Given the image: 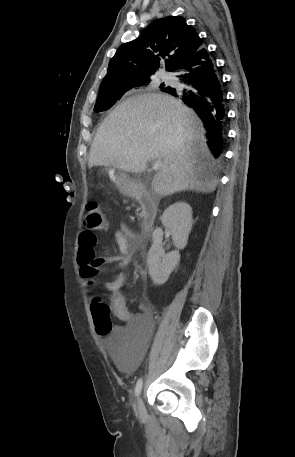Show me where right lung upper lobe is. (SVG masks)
<instances>
[{"label":"right lung upper lobe","mask_w":295,"mask_h":457,"mask_svg":"<svg viewBox=\"0 0 295 457\" xmlns=\"http://www.w3.org/2000/svg\"><path fill=\"white\" fill-rule=\"evenodd\" d=\"M202 40L182 17L168 16L152 22L140 37L121 45L110 60L99 91L139 86L153 79L165 61L174 71L185 58L201 48Z\"/></svg>","instance_id":"right-lung-upper-lobe-1"}]
</instances>
